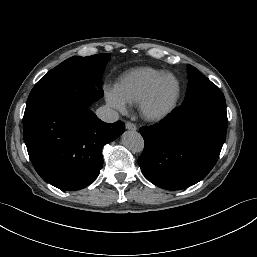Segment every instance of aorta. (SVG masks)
I'll use <instances>...</instances> for the list:
<instances>
[{"instance_id": "obj_1", "label": "aorta", "mask_w": 257, "mask_h": 257, "mask_svg": "<svg viewBox=\"0 0 257 257\" xmlns=\"http://www.w3.org/2000/svg\"><path fill=\"white\" fill-rule=\"evenodd\" d=\"M122 144L133 152H142L144 148V140L137 131H125L122 135Z\"/></svg>"}]
</instances>
